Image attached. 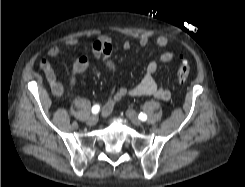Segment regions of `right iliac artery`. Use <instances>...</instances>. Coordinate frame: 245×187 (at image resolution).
I'll return each instance as SVG.
<instances>
[{
    "instance_id": "right-iliac-artery-1",
    "label": "right iliac artery",
    "mask_w": 245,
    "mask_h": 187,
    "mask_svg": "<svg viewBox=\"0 0 245 187\" xmlns=\"http://www.w3.org/2000/svg\"><path fill=\"white\" fill-rule=\"evenodd\" d=\"M99 110H100V106L99 105H94L92 107V113L93 114H97L99 112Z\"/></svg>"
}]
</instances>
